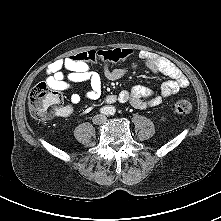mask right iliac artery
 I'll use <instances>...</instances> for the list:
<instances>
[{
    "mask_svg": "<svg viewBox=\"0 0 221 221\" xmlns=\"http://www.w3.org/2000/svg\"><path fill=\"white\" fill-rule=\"evenodd\" d=\"M100 112H101L102 114H107V113H108V110H107L106 108H102V109L100 110Z\"/></svg>",
    "mask_w": 221,
    "mask_h": 221,
    "instance_id": "82829eb1",
    "label": "right iliac artery"
}]
</instances>
